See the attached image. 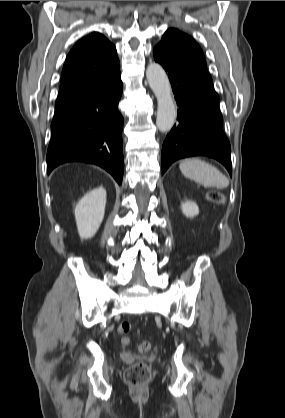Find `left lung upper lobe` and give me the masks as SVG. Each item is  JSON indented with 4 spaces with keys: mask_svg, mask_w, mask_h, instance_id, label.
Instances as JSON below:
<instances>
[{
    "mask_svg": "<svg viewBox=\"0 0 285 418\" xmlns=\"http://www.w3.org/2000/svg\"><path fill=\"white\" fill-rule=\"evenodd\" d=\"M162 39L175 40L183 45L190 53H192L198 60H200L205 66L206 61L200 46L196 41L185 33L178 29H168L163 35Z\"/></svg>",
    "mask_w": 285,
    "mask_h": 418,
    "instance_id": "5c2ea615",
    "label": "left lung upper lobe"
}]
</instances>
